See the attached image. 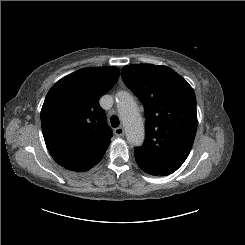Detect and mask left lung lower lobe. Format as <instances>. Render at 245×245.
I'll return each mask as SVG.
<instances>
[{
    "label": "left lung lower lobe",
    "mask_w": 245,
    "mask_h": 245,
    "mask_svg": "<svg viewBox=\"0 0 245 245\" xmlns=\"http://www.w3.org/2000/svg\"><path fill=\"white\" fill-rule=\"evenodd\" d=\"M138 166L146 173L150 174V175H154V176H166L169 175L173 172H175L177 169L166 165V164H155V165H151L148 163H145L144 161H142L141 159H138L137 157H135Z\"/></svg>",
    "instance_id": "obj_1"
}]
</instances>
